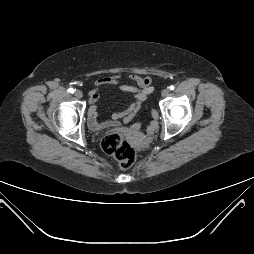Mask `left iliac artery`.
Wrapping results in <instances>:
<instances>
[{"label":"left iliac artery","mask_w":254,"mask_h":254,"mask_svg":"<svg viewBox=\"0 0 254 254\" xmlns=\"http://www.w3.org/2000/svg\"><path fill=\"white\" fill-rule=\"evenodd\" d=\"M169 89H170V90H174V86L171 85V86L169 87Z\"/></svg>","instance_id":"44dca946"}]
</instances>
